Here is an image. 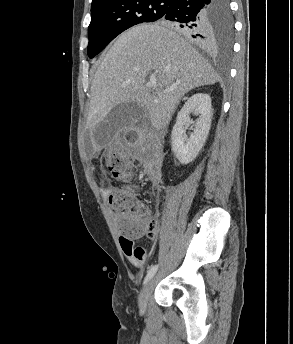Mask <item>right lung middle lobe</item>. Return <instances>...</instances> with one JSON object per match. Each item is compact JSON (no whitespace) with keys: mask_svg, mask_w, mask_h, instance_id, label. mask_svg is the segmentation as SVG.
I'll return each mask as SVG.
<instances>
[{"mask_svg":"<svg viewBox=\"0 0 293 344\" xmlns=\"http://www.w3.org/2000/svg\"><path fill=\"white\" fill-rule=\"evenodd\" d=\"M169 0H116L91 9L88 27V56L100 53L116 36L126 29L144 22L162 18L168 9ZM215 44L231 46L233 33L228 0H216L213 16Z\"/></svg>","mask_w":293,"mask_h":344,"instance_id":"right-lung-middle-lobe-1","label":"right lung middle lobe"}]
</instances>
